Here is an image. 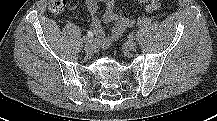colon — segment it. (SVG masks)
<instances>
[{
    "instance_id": "obj_1",
    "label": "colon",
    "mask_w": 217,
    "mask_h": 121,
    "mask_svg": "<svg viewBox=\"0 0 217 121\" xmlns=\"http://www.w3.org/2000/svg\"><path fill=\"white\" fill-rule=\"evenodd\" d=\"M69 2L70 0H51L49 9L53 13H61L66 9Z\"/></svg>"
}]
</instances>
